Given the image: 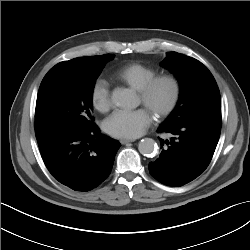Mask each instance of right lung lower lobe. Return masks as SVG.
<instances>
[{
    "label": "right lung lower lobe",
    "instance_id": "1",
    "mask_svg": "<svg viewBox=\"0 0 250 250\" xmlns=\"http://www.w3.org/2000/svg\"><path fill=\"white\" fill-rule=\"evenodd\" d=\"M51 175L74 191L99 186L110 174L120 143L97 126L79 133H58L37 139Z\"/></svg>",
    "mask_w": 250,
    "mask_h": 250
}]
</instances>
